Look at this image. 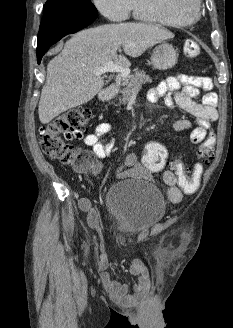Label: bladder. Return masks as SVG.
I'll use <instances>...</instances> for the list:
<instances>
[{"label":"bladder","instance_id":"obj_1","mask_svg":"<svg viewBox=\"0 0 233 328\" xmlns=\"http://www.w3.org/2000/svg\"><path fill=\"white\" fill-rule=\"evenodd\" d=\"M104 204L119 231L126 235L149 230L163 219L167 208L162 192L143 180L114 183Z\"/></svg>","mask_w":233,"mask_h":328}]
</instances>
